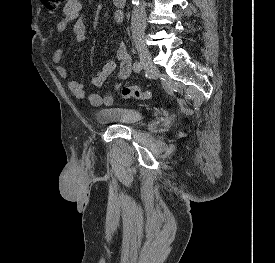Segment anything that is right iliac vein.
<instances>
[{"mask_svg": "<svg viewBox=\"0 0 275 263\" xmlns=\"http://www.w3.org/2000/svg\"><path fill=\"white\" fill-rule=\"evenodd\" d=\"M136 49L138 51L140 60L145 68H149L152 63V57L149 49L147 48L145 42L141 38L135 40Z\"/></svg>", "mask_w": 275, "mask_h": 263, "instance_id": "63e3f726", "label": "right iliac vein"}]
</instances>
